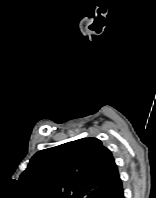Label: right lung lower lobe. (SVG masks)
Masks as SVG:
<instances>
[{
    "instance_id": "98d812e1",
    "label": "right lung lower lobe",
    "mask_w": 156,
    "mask_h": 198,
    "mask_svg": "<svg viewBox=\"0 0 156 198\" xmlns=\"http://www.w3.org/2000/svg\"><path fill=\"white\" fill-rule=\"evenodd\" d=\"M112 198H124L123 188L119 190Z\"/></svg>"
}]
</instances>
